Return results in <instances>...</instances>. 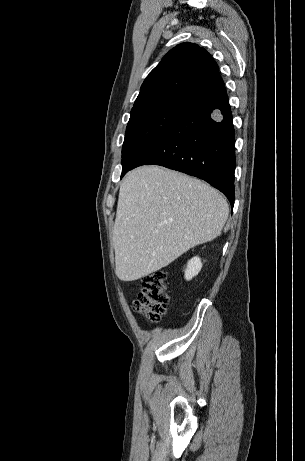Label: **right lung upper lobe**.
<instances>
[{
    "label": "right lung upper lobe",
    "instance_id": "cb5924a9",
    "mask_svg": "<svg viewBox=\"0 0 305 461\" xmlns=\"http://www.w3.org/2000/svg\"><path fill=\"white\" fill-rule=\"evenodd\" d=\"M222 87L224 82L211 55L194 43H182L144 80L131 112L165 103L190 107Z\"/></svg>",
    "mask_w": 305,
    "mask_h": 461
}]
</instances>
